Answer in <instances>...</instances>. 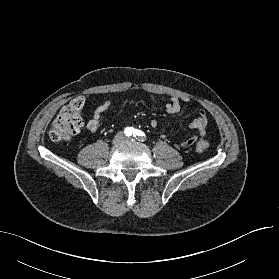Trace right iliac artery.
<instances>
[{
    "label": "right iliac artery",
    "mask_w": 279,
    "mask_h": 279,
    "mask_svg": "<svg viewBox=\"0 0 279 279\" xmlns=\"http://www.w3.org/2000/svg\"><path fill=\"white\" fill-rule=\"evenodd\" d=\"M124 133L126 136H131L133 133V128H130V127L125 128Z\"/></svg>",
    "instance_id": "right-iliac-artery-1"
}]
</instances>
